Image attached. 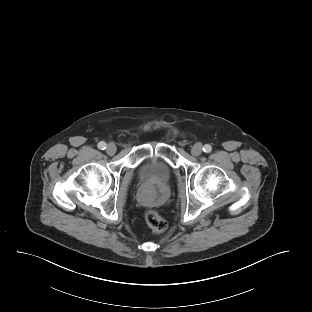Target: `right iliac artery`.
Listing matches in <instances>:
<instances>
[{
    "instance_id": "right-iliac-artery-1",
    "label": "right iliac artery",
    "mask_w": 312,
    "mask_h": 312,
    "mask_svg": "<svg viewBox=\"0 0 312 312\" xmlns=\"http://www.w3.org/2000/svg\"><path fill=\"white\" fill-rule=\"evenodd\" d=\"M98 148L101 149V150H104L106 149V143L101 141L98 143Z\"/></svg>"
}]
</instances>
